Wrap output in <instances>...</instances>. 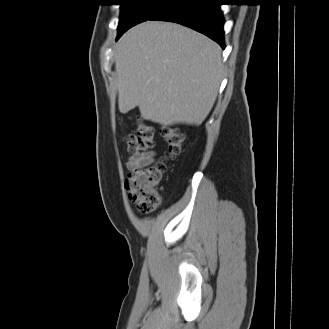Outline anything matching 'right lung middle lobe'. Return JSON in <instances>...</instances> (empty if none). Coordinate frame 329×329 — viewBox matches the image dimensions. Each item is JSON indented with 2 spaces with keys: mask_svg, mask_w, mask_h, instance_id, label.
<instances>
[{
  "mask_svg": "<svg viewBox=\"0 0 329 329\" xmlns=\"http://www.w3.org/2000/svg\"><path fill=\"white\" fill-rule=\"evenodd\" d=\"M121 14L118 24L119 38L132 26L149 20L163 7L175 0H119Z\"/></svg>",
  "mask_w": 329,
  "mask_h": 329,
  "instance_id": "1",
  "label": "right lung middle lobe"
}]
</instances>
